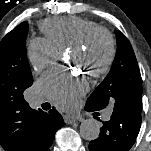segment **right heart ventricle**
<instances>
[{
    "instance_id": "1",
    "label": "right heart ventricle",
    "mask_w": 151,
    "mask_h": 151,
    "mask_svg": "<svg viewBox=\"0 0 151 151\" xmlns=\"http://www.w3.org/2000/svg\"><path fill=\"white\" fill-rule=\"evenodd\" d=\"M40 27L45 37L61 52L71 49L90 31L100 28L97 23L79 17L48 19Z\"/></svg>"
}]
</instances>
